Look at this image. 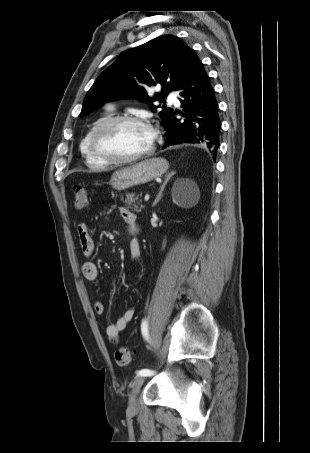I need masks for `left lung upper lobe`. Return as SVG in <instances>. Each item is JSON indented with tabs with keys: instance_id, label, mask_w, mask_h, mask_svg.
<instances>
[{
	"instance_id": "1",
	"label": "left lung upper lobe",
	"mask_w": 310,
	"mask_h": 453,
	"mask_svg": "<svg viewBox=\"0 0 310 453\" xmlns=\"http://www.w3.org/2000/svg\"><path fill=\"white\" fill-rule=\"evenodd\" d=\"M193 51L176 36L163 35L138 47L122 52L96 79L87 92L80 116H84L102 103L121 98H142L149 102L164 101V96L183 81ZM161 84L163 91L153 99L146 87ZM164 94V96H163ZM160 116L165 123L173 109L162 107ZM155 111V108H153Z\"/></svg>"
}]
</instances>
